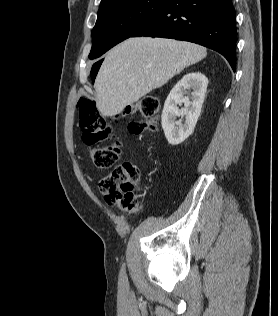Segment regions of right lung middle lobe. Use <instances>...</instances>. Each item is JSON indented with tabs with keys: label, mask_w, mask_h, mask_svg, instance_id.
Segmentation results:
<instances>
[{
	"label": "right lung middle lobe",
	"mask_w": 278,
	"mask_h": 316,
	"mask_svg": "<svg viewBox=\"0 0 278 316\" xmlns=\"http://www.w3.org/2000/svg\"><path fill=\"white\" fill-rule=\"evenodd\" d=\"M166 0H107L102 2L98 18L92 30L90 59L97 58L107 50L132 37L160 10ZM97 70L92 68L91 77Z\"/></svg>",
	"instance_id": "obj_1"
}]
</instances>
